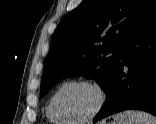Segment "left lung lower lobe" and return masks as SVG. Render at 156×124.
<instances>
[{"label": "left lung lower lobe", "instance_id": "left-lung-lower-lobe-1", "mask_svg": "<svg viewBox=\"0 0 156 124\" xmlns=\"http://www.w3.org/2000/svg\"><path fill=\"white\" fill-rule=\"evenodd\" d=\"M105 93L93 122L127 109L156 116V2L125 44Z\"/></svg>", "mask_w": 156, "mask_h": 124}]
</instances>
